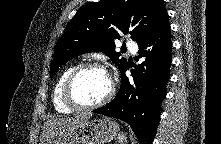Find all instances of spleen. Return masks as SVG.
<instances>
[{"label":"spleen","mask_w":221,"mask_h":144,"mask_svg":"<svg viewBox=\"0 0 221 144\" xmlns=\"http://www.w3.org/2000/svg\"><path fill=\"white\" fill-rule=\"evenodd\" d=\"M118 140H119V143L121 144L127 143L126 135H124L123 133L119 134Z\"/></svg>","instance_id":"1"}]
</instances>
